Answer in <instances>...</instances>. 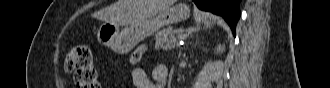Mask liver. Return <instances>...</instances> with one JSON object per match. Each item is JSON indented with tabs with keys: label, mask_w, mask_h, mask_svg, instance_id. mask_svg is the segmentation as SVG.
<instances>
[{
	"label": "liver",
	"mask_w": 330,
	"mask_h": 88,
	"mask_svg": "<svg viewBox=\"0 0 330 88\" xmlns=\"http://www.w3.org/2000/svg\"><path fill=\"white\" fill-rule=\"evenodd\" d=\"M175 0H118L101 13V19L117 25H131L156 16Z\"/></svg>",
	"instance_id": "1"
}]
</instances>
